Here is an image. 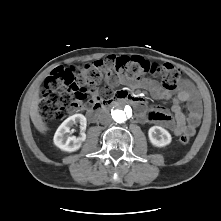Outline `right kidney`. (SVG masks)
Segmentation results:
<instances>
[{
	"instance_id": "1",
	"label": "right kidney",
	"mask_w": 221,
	"mask_h": 221,
	"mask_svg": "<svg viewBox=\"0 0 221 221\" xmlns=\"http://www.w3.org/2000/svg\"><path fill=\"white\" fill-rule=\"evenodd\" d=\"M80 123L82 131L86 129L87 120L82 114H75L68 117L56 130L53 141L54 144L63 151L73 152L78 150L86 139L84 132L79 137L69 136L68 133L73 125Z\"/></svg>"
}]
</instances>
